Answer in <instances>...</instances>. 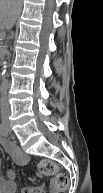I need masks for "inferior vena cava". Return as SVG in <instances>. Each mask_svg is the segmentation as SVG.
Instances as JSON below:
<instances>
[{
	"label": "inferior vena cava",
	"instance_id": "602c4592",
	"mask_svg": "<svg viewBox=\"0 0 103 193\" xmlns=\"http://www.w3.org/2000/svg\"><path fill=\"white\" fill-rule=\"evenodd\" d=\"M3 83L1 87V94H2V100H1V116L2 117H8L10 115L9 110V104L7 99V93L9 89V83L6 79V75L3 76Z\"/></svg>",
	"mask_w": 103,
	"mask_h": 193
}]
</instances>
